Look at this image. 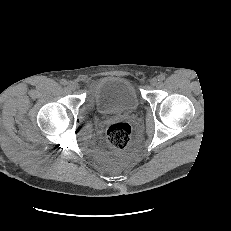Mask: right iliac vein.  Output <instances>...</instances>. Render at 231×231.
Wrapping results in <instances>:
<instances>
[{
    "mask_svg": "<svg viewBox=\"0 0 231 231\" xmlns=\"http://www.w3.org/2000/svg\"><path fill=\"white\" fill-rule=\"evenodd\" d=\"M67 87H68V89H70V90H75L76 87H77V85H76L75 82L69 81V82L67 83Z\"/></svg>",
    "mask_w": 231,
    "mask_h": 231,
    "instance_id": "right-iliac-vein-1",
    "label": "right iliac vein"
}]
</instances>
